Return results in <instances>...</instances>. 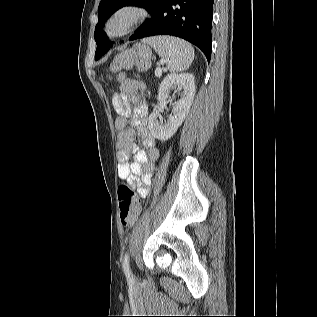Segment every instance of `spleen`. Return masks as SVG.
Returning <instances> with one entry per match:
<instances>
[{
  "label": "spleen",
  "instance_id": "spleen-1",
  "mask_svg": "<svg viewBox=\"0 0 317 317\" xmlns=\"http://www.w3.org/2000/svg\"><path fill=\"white\" fill-rule=\"evenodd\" d=\"M153 47L170 72L184 71L194 59V49L186 41L170 36H158L143 41Z\"/></svg>",
  "mask_w": 317,
  "mask_h": 317
}]
</instances>
